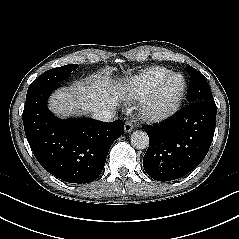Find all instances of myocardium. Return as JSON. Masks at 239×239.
Wrapping results in <instances>:
<instances>
[{
	"instance_id": "obj_1",
	"label": "myocardium",
	"mask_w": 239,
	"mask_h": 239,
	"mask_svg": "<svg viewBox=\"0 0 239 239\" xmlns=\"http://www.w3.org/2000/svg\"><path fill=\"white\" fill-rule=\"evenodd\" d=\"M173 79L180 80V87L171 100L162 106L156 105L157 96L163 88ZM187 89L186 80L179 73H170L156 82L141 98L138 112L140 117L148 122H162L174 116L180 109Z\"/></svg>"
}]
</instances>
